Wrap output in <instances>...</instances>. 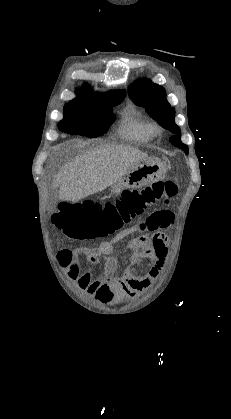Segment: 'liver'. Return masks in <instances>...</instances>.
I'll return each instance as SVG.
<instances>
[{"label": "liver", "instance_id": "obj_1", "mask_svg": "<svg viewBox=\"0 0 231 419\" xmlns=\"http://www.w3.org/2000/svg\"><path fill=\"white\" fill-rule=\"evenodd\" d=\"M147 157L136 148L123 145H101L65 164L53 181L60 187L59 198L79 200L114 185L134 164Z\"/></svg>", "mask_w": 231, "mask_h": 419}]
</instances>
